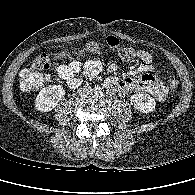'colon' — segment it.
<instances>
[{
	"instance_id": "5ec220e1",
	"label": "colon",
	"mask_w": 195,
	"mask_h": 195,
	"mask_svg": "<svg viewBox=\"0 0 195 195\" xmlns=\"http://www.w3.org/2000/svg\"><path fill=\"white\" fill-rule=\"evenodd\" d=\"M104 50L115 52L125 62L134 61L138 57L137 49L122 46L120 41L114 36H108L105 41H90L85 45L63 49L51 54L43 53L21 70V88L29 92L41 86L46 81L47 77L41 74L39 70L48 69L55 60L64 59L69 56H83L90 53H99ZM168 80L170 91L176 93L179 87L178 80L172 74H169Z\"/></svg>"
}]
</instances>
